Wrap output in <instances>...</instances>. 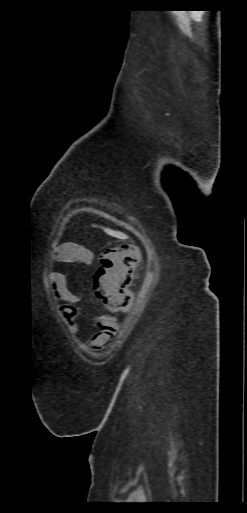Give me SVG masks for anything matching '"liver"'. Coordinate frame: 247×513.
<instances>
[{
	"mask_svg": "<svg viewBox=\"0 0 247 513\" xmlns=\"http://www.w3.org/2000/svg\"><path fill=\"white\" fill-rule=\"evenodd\" d=\"M103 230L111 235V236H115V237H118V238H121V237H124L125 235L122 233V232H119V231H115V230H111L109 228H103Z\"/></svg>",
	"mask_w": 247,
	"mask_h": 513,
	"instance_id": "6515ba94",
	"label": "liver"
}]
</instances>
